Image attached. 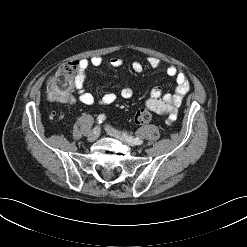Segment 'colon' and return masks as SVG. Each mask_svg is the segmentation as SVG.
Returning a JSON list of instances; mask_svg holds the SVG:
<instances>
[{
	"label": "colon",
	"mask_w": 247,
	"mask_h": 247,
	"mask_svg": "<svg viewBox=\"0 0 247 247\" xmlns=\"http://www.w3.org/2000/svg\"><path fill=\"white\" fill-rule=\"evenodd\" d=\"M78 62L69 61L48 80L46 88L48 98L53 102H65L70 99L78 84ZM152 114L147 109H140L135 115V123L144 125L152 120Z\"/></svg>",
	"instance_id": "colon-1"
}]
</instances>
